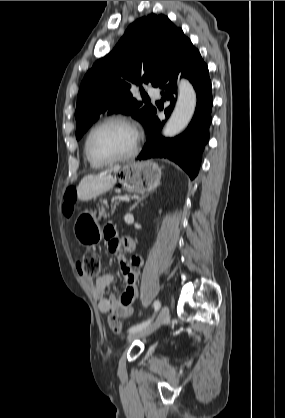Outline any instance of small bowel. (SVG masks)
Wrapping results in <instances>:
<instances>
[{"mask_svg": "<svg viewBox=\"0 0 285 418\" xmlns=\"http://www.w3.org/2000/svg\"><path fill=\"white\" fill-rule=\"evenodd\" d=\"M105 245L114 256H118L123 248L127 251H133L135 248V243L131 238H119L113 229H108L105 232ZM142 265L143 260L138 255H133L128 260L124 259L119 262L120 272L126 284V289L121 296L106 295V287L114 279L112 274L104 273L94 282L84 279V282L92 285L93 296L97 300L98 309L102 314H115L120 318H128L132 314V303L138 295L137 280Z\"/></svg>", "mask_w": 285, "mask_h": 418, "instance_id": "small-bowel-1", "label": "small bowel"}]
</instances>
